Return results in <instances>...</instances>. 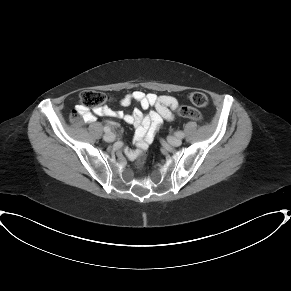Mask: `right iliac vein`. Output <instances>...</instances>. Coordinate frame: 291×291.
<instances>
[{"mask_svg": "<svg viewBox=\"0 0 291 291\" xmlns=\"http://www.w3.org/2000/svg\"><path fill=\"white\" fill-rule=\"evenodd\" d=\"M103 139L107 142H113L115 140V135L113 133H107L103 136Z\"/></svg>", "mask_w": 291, "mask_h": 291, "instance_id": "63e3f726", "label": "right iliac vein"}]
</instances>
